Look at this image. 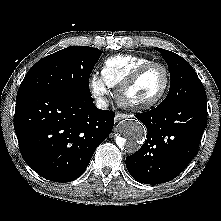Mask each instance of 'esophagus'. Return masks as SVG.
Listing matches in <instances>:
<instances>
[{"instance_id":"esophagus-1","label":"esophagus","mask_w":221,"mask_h":221,"mask_svg":"<svg viewBox=\"0 0 221 221\" xmlns=\"http://www.w3.org/2000/svg\"><path fill=\"white\" fill-rule=\"evenodd\" d=\"M125 118H127V115H126V114L117 113V114L115 115L114 120H115V122H119V121H121V120H123V119H125Z\"/></svg>"}]
</instances>
